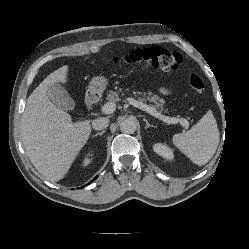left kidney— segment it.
<instances>
[{
    "mask_svg": "<svg viewBox=\"0 0 249 249\" xmlns=\"http://www.w3.org/2000/svg\"><path fill=\"white\" fill-rule=\"evenodd\" d=\"M153 150L158 155L162 156L167 160H172L174 158L173 150L168 147L166 144L157 143L154 144Z\"/></svg>",
    "mask_w": 249,
    "mask_h": 249,
    "instance_id": "1",
    "label": "left kidney"
}]
</instances>
